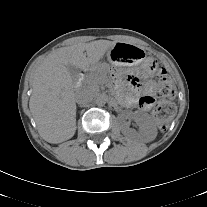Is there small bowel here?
<instances>
[{
    "label": "small bowel",
    "mask_w": 207,
    "mask_h": 207,
    "mask_svg": "<svg viewBox=\"0 0 207 207\" xmlns=\"http://www.w3.org/2000/svg\"><path fill=\"white\" fill-rule=\"evenodd\" d=\"M151 69L144 67L142 75L145 76ZM127 82L132 89V94H124L123 101L127 106H138L143 110L150 109L154 104V84L152 82L140 83L139 79L134 75L127 77Z\"/></svg>",
    "instance_id": "small-bowel-1"
}]
</instances>
